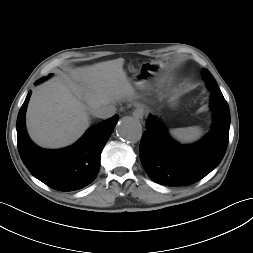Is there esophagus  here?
I'll return each instance as SVG.
<instances>
[{
  "label": "esophagus",
  "mask_w": 253,
  "mask_h": 253,
  "mask_svg": "<svg viewBox=\"0 0 253 253\" xmlns=\"http://www.w3.org/2000/svg\"><path fill=\"white\" fill-rule=\"evenodd\" d=\"M143 115H144V113H143V111L140 110V109H137V110H135V111L133 112V117H134V119H136V120L139 121V122H142V121H143Z\"/></svg>",
  "instance_id": "obj_1"
}]
</instances>
